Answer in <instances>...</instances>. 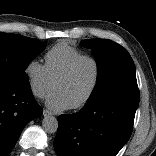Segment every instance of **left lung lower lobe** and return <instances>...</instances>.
Segmentation results:
<instances>
[{"label": "left lung lower lobe", "instance_id": "0a47b994", "mask_svg": "<svg viewBox=\"0 0 156 156\" xmlns=\"http://www.w3.org/2000/svg\"><path fill=\"white\" fill-rule=\"evenodd\" d=\"M139 100L103 98L77 113L60 115L54 148L58 156H116L129 140Z\"/></svg>", "mask_w": 156, "mask_h": 156}]
</instances>
